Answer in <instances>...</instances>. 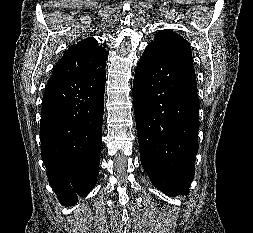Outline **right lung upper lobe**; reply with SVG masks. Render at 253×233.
<instances>
[{"instance_id": "1", "label": "right lung upper lobe", "mask_w": 253, "mask_h": 233, "mask_svg": "<svg viewBox=\"0 0 253 233\" xmlns=\"http://www.w3.org/2000/svg\"><path fill=\"white\" fill-rule=\"evenodd\" d=\"M108 56L97 40L86 38L71 46L54 67L53 75L92 72L105 67ZM52 75V76H53Z\"/></svg>"}]
</instances>
